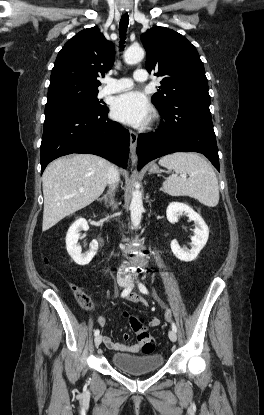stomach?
I'll use <instances>...</instances> for the list:
<instances>
[{
  "mask_svg": "<svg viewBox=\"0 0 264 415\" xmlns=\"http://www.w3.org/2000/svg\"><path fill=\"white\" fill-rule=\"evenodd\" d=\"M149 172L150 173H157V172H159V167L156 164H152V165H150Z\"/></svg>",
  "mask_w": 264,
  "mask_h": 415,
  "instance_id": "stomach-1",
  "label": "stomach"
}]
</instances>
